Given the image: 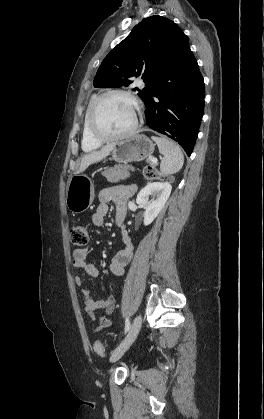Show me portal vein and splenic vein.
Here are the masks:
<instances>
[{
    "mask_svg": "<svg viewBox=\"0 0 264 419\" xmlns=\"http://www.w3.org/2000/svg\"><path fill=\"white\" fill-rule=\"evenodd\" d=\"M151 161H152L153 163H157V161H158V160H157V158H152V159H151Z\"/></svg>",
    "mask_w": 264,
    "mask_h": 419,
    "instance_id": "portal-vein-and-splenic-vein-1",
    "label": "portal vein and splenic vein"
}]
</instances>
